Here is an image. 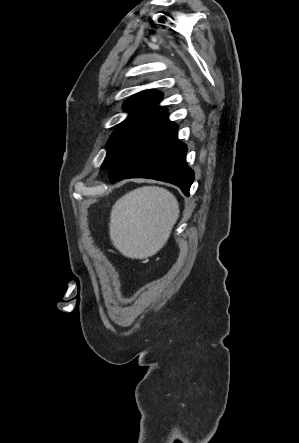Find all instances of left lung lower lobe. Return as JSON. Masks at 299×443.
<instances>
[{
    "label": "left lung lower lobe",
    "mask_w": 299,
    "mask_h": 443,
    "mask_svg": "<svg viewBox=\"0 0 299 443\" xmlns=\"http://www.w3.org/2000/svg\"><path fill=\"white\" fill-rule=\"evenodd\" d=\"M177 130L166 113L110 169V182L151 178L177 185L189 196L194 173L186 164L187 147L178 141Z\"/></svg>",
    "instance_id": "left-lung-lower-lobe-1"
}]
</instances>
